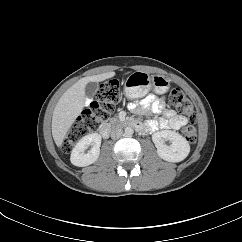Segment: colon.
Segmentation results:
<instances>
[{
	"label": "colon",
	"instance_id": "obj_1",
	"mask_svg": "<svg viewBox=\"0 0 242 242\" xmlns=\"http://www.w3.org/2000/svg\"><path fill=\"white\" fill-rule=\"evenodd\" d=\"M121 98V88L116 80L104 82L90 100L82 116L72 124L63 140V149L70 151L84 136L95 132L101 124L108 120L110 113ZM169 105L180 113L185 114L189 122L183 126L181 132L184 138L193 143L196 140L195 110L191 102L181 89L171 91L168 99Z\"/></svg>",
	"mask_w": 242,
	"mask_h": 242
}]
</instances>
